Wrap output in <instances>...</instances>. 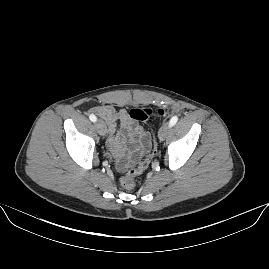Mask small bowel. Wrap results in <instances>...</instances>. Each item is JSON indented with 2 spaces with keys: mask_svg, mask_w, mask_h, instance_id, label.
I'll return each mask as SVG.
<instances>
[{
  "mask_svg": "<svg viewBox=\"0 0 269 269\" xmlns=\"http://www.w3.org/2000/svg\"><path fill=\"white\" fill-rule=\"evenodd\" d=\"M92 111L107 123V147L118 169L124 171L130 163L141 161L140 154L145 150L149 132L133 121L125 109L116 110L112 105L103 104L93 107ZM128 144H132L133 149L126 153L125 148Z\"/></svg>",
  "mask_w": 269,
  "mask_h": 269,
  "instance_id": "obj_1",
  "label": "small bowel"
}]
</instances>
